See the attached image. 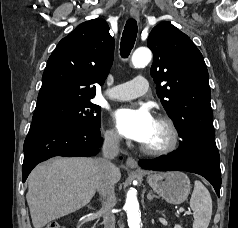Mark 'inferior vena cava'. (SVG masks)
Instances as JSON below:
<instances>
[{"mask_svg":"<svg viewBox=\"0 0 238 228\" xmlns=\"http://www.w3.org/2000/svg\"><path fill=\"white\" fill-rule=\"evenodd\" d=\"M120 137L117 133H106L102 147V157L99 161L97 191L102 197V213L104 228H115V215L112 209L116 204L114 192L113 171L115 165L111 162L119 153Z\"/></svg>","mask_w":238,"mask_h":228,"instance_id":"inferior-vena-cava-1","label":"inferior vena cava"}]
</instances>
